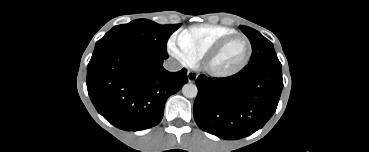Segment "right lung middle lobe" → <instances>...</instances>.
Wrapping results in <instances>:
<instances>
[{
	"instance_id": "right-lung-middle-lobe-1",
	"label": "right lung middle lobe",
	"mask_w": 369,
	"mask_h": 152,
	"mask_svg": "<svg viewBox=\"0 0 369 152\" xmlns=\"http://www.w3.org/2000/svg\"><path fill=\"white\" fill-rule=\"evenodd\" d=\"M181 25H159L147 19L134 20L128 24L117 25L107 32L95 45V50L117 42L140 44L159 56L167 57L168 38Z\"/></svg>"
}]
</instances>
